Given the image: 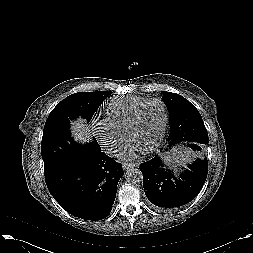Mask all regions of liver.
<instances>
[{
  "instance_id": "6515ba94",
  "label": "liver",
  "mask_w": 253,
  "mask_h": 253,
  "mask_svg": "<svg viewBox=\"0 0 253 253\" xmlns=\"http://www.w3.org/2000/svg\"><path fill=\"white\" fill-rule=\"evenodd\" d=\"M73 132L75 138L78 140L85 141L87 138H89L88 128L82 120L73 123Z\"/></svg>"
}]
</instances>
